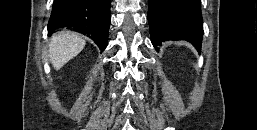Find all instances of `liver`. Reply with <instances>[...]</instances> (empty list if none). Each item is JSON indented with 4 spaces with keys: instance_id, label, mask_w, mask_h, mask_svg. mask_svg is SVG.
I'll return each instance as SVG.
<instances>
[{
    "instance_id": "liver-1",
    "label": "liver",
    "mask_w": 257,
    "mask_h": 130,
    "mask_svg": "<svg viewBox=\"0 0 257 130\" xmlns=\"http://www.w3.org/2000/svg\"><path fill=\"white\" fill-rule=\"evenodd\" d=\"M85 44V40L74 32L62 31L54 34L49 43V58L54 69L59 70L77 56Z\"/></svg>"
}]
</instances>
